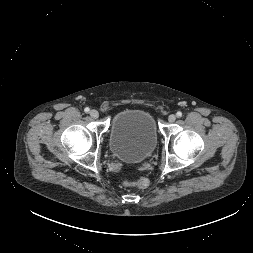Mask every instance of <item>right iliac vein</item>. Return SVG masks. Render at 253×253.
<instances>
[{
	"label": "right iliac vein",
	"instance_id": "1",
	"mask_svg": "<svg viewBox=\"0 0 253 253\" xmlns=\"http://www.w3.org/2000/svg\"><path fill=\"white\" fill-rule=\"evenodd\" d=\"M89 114H90V116H91L92 118H94V119H96V118L99 117V113H98L97 110H91Z\"/></svg>",
	"mask_w": 253,
	"mask_h": 253
}]
</instances>
